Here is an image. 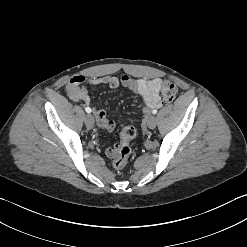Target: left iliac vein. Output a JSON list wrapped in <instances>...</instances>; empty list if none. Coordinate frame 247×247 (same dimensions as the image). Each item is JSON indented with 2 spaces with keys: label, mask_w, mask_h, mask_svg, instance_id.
<instances>
[{
  "label": "left iliac vein",
  "mask_w": 247,
  "mask_h": 247,
  "mask_svg": "<svg viewBox=\"0 0 247 247\" xmlns=\"http://www.w3.org/2000/svg\"><path fill=\"white\" fill-rule=\"evenodd\" d=\"M157 121L154 115H151L148 119V127L154 129L156 127Z\"/></svg>",
  "instance_id": "1"
}]
</instances>
